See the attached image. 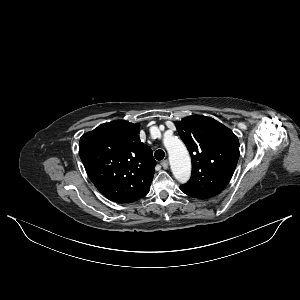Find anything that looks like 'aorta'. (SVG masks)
I'll return each instance as SVG.
<instances>
[{
	"instance_id": "aorta-1",
	"label": "aorta",
	"mask_w": 300,
	"mask_h": 300,
	"mask_svg": "<svg viewBox=\"0 0 300 300\" xmlns=\"http://www.w3.org/2000/svg\"><path fill=\"white\" fill-rule=\"evenodd\" d=\"M172 173L177 181L186 183L191 176V159L184 143L176 136L165 135Z\"/></svg>"
}]
</instances>
